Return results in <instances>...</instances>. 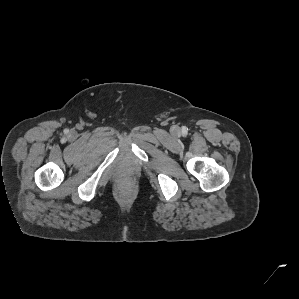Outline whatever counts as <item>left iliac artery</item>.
<instances>
[{"mask_svg":"<svg viewBox=\"0 0 299 299\" xmlns=\"http://www.w3.org/2000/svg\"><path fill=\"white\" fill-rule=\"evenodd\" d=\"M182 133H183V134H186V133H187V128H186V127H183V129H182Z\"/></svg>","mask_w":299,"mask_h":299,"instance_id":"44dca946","label":"left iliac artery"}]
</instances>
